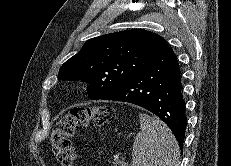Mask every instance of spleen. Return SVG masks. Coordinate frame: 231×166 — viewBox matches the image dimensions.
I'll list each match as a JSON object with an SVG mask.
<instances>
[{
    "label": "spleen",
    "mask_w": 231,
    "mask_h": 166,
    "mask_svg": "<svg viewBox=\"0 0 231 166\" xmlns=\"http://www.w3.org/2000/svg\"><path fill=\"white\" fill-rule=\"evenodd\" d=\"M141 130L132 149V166H179L180 150L173 133L156 117L140 114Z\"/></svg>",
    "instance_id": "spleen-1"
}]
</instances>
